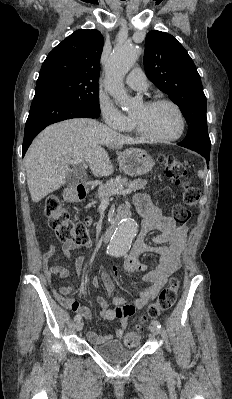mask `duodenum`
<instances>
[{"label":"duodenum","mask_w":232,"mask_h":399,"mask_svg":"<svg viewBox=\"0 0 232 399\" xmlns=\"http://www.w3.org/2000/svg\"><path fill=\"white\" fill-rule=\"evenodd\" d=\"M88 193V189L85 185L79 184L76 185L65 192V199L68 202H78L83 200ZM118 220H116L113 224H111L102 234V241L107 242L113 235L116 226H117Z\"/></svg>","instance_id":"obj_1"}]
</instances>
